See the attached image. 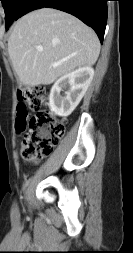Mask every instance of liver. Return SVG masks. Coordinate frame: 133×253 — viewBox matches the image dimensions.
<instances>
[{"label":"liver","mask_w":133,"mask_h":253,"mask_svg":"<svg viewBox=\"0 0 133 253\" xmlns=\"http://www.w3.org/2000/svg\"><path fill=\"white\" fill-rule=\"evenodd\" d=\"M37 47H43L42 52ZM8 53L20 82L48 85L82 66H92L100 53L96 33L76 17L42 8L20 18L8 40Z\"/></svg>","instance_id":"6515ba94"}]
</instances>
